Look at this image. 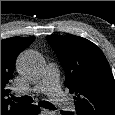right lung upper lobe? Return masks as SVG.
I'll use <instances>...</instances> for the list:
<instances>
[{"label": "right lung upper lobe", "mask_w": 115, "mask_h": 115, "mask_svg": "<svg viewBox=\"0 0 115 115\" xmlns=\"http://www.w3.org/2000/svg\"><path fill=\"white\" fill-rule=\"evenodd\" d=\"M34 40L35 37H13L1 40V115H20L26 107L10 99L8 87L17 56Z\"/></svg>", "instance_id": "right-lung-upper-lobe-1"}]
</instances>
